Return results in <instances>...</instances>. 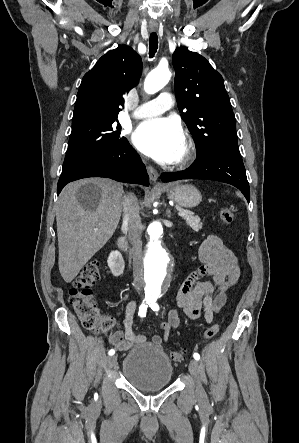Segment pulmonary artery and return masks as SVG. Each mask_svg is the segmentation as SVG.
I'll list each match as a JSON object with an SVG mask.
<instances>
[{
    "mask_svg": "<svg viewBox=\"0 0 299 443\" xmlns=\"http://www.w3.org/2000/svg\"><path fill=\"white\" fill-rule=\"evenodd\" d=\"M174 104L173 97L169 92H162L155 99L141 104L132 114L138 119L150 118L160 115L169 110Z\"/></svg>",
    "mask_w": 299,
    "mask_h": 443,
    "instance_id": "pulmonary-artery-1",
    "label": "pulmonary artery"
}]
</instances>
